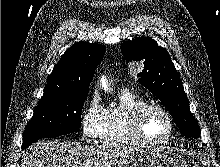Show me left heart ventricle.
<instances>
[{"label":"left heart ventricle","instance_id":"obj_1","mask_svg":"<svg viewBox=\"0 0 220 167\" xmlns=\"http://www.w3.org/2000/svg\"><path fill=\"white\" fill-rule=\"evenodd\" d=\"M169 124L165 116L157 110H149L143 121V134L151 140H159L166 137L169 133Z\"/></svg>","mask_w":220,"mask_h":167}]
</instances>
